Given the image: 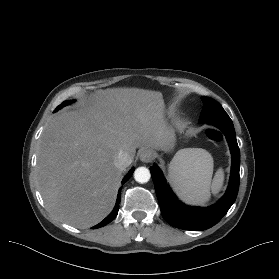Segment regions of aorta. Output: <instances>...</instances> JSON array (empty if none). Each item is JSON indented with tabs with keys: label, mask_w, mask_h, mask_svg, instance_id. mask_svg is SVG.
I'll return each mask as SVG.
<instances>
[{
	"label": "aorta",
	"mask_w": 279,
	"mask_h": 279,
	"mask_svg": "<svg viewBox=\"0 0 279 279\" xmlns=\"http://www.w3.org/2000/svg\"><path fill=\"white\" fill-rule=\"evenodd\" d=\"M150 177V171L146 167H138L134 172V179L139 183L148 182Z\"/></svg>",
	"instance_id": "1"
}]
</instances>
